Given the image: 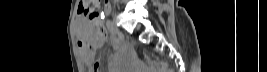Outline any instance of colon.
<instances>
[{
  "label": "colon",
  "mask_w": 267,
  "mask_h": 72,
  "mask_svg": "<svg viewBox=\"0 0 267 72\" xmlns=\"http://www.w3.org/2000/svg\"><path fill=\"white\" fill-rule=\"evenodd\" d=\"M102 0H80V9L83 13L89 15L90 25L94 30H97L98 36H103V29L100 24V5ZM107 3V1H105ZM95 71L98 70V65H94ZM165 67L160 69V72H168Z\"/></svg>",
  "instance_id": "1"
}]
</instances>
